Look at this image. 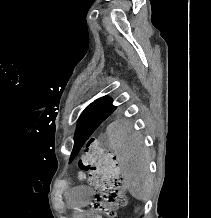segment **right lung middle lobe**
Segmentation results:
<instances>
[{"instance_id": "dd1d6c3e", "label": "right lung middle lobe", "mask_w": 211, "mask_h": 218, "mask_svg": "<svg viewBox=\"0 0 211 218\" xmlns=\"http://www.w3.org/2000/svg\"><path fill=\"white\" fill-rule=\"evenodd\" d=\"M116 108L111 102H93L90 104L78 120L75 139L89 137Z\"/></svg>"}]
</instances>
